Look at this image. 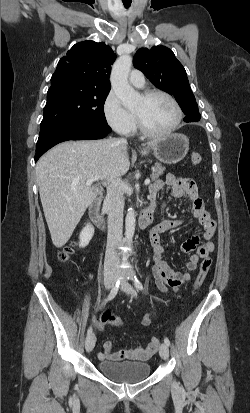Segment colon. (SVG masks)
<instances>
[{"label": "colon", "mask_w": 250, "mask_h": 413, "mask_svg": "<svg viewBox=\"0 0 250 413\" xmlns=\"http://www.w3.org/2000/svg\"><path fill=\"white\" fill-rule=\"evenodd\" d=\"M201 159H202L201 155L198 154V153H193L191 155V162L193 164H199L201 162ZM72 253H73V248L72 247L65 248L59 254V259L62 262H66V261L69 260ZM211 265H212V260L209 256H206L202 259L201 264H200L199 273H198V276H197V278L195 280V283H194V289L195 290L199 289L202 286V284H203V282H204V280H205V278H206V276H207V274H208V272L211 268ZM101 323L102 324L111 323L114 326V328H116V329L124 328V323H122L121 316L120 315H114L110 311H106V312L103 313V315L101 317ZM159 344H160V341L156 337H153L150 341V345L154 348H157L159 346Z\"/></svg>", "instance_id": "1"}]
</instances>
